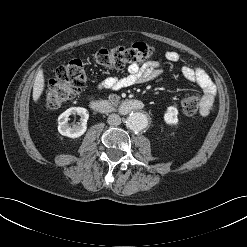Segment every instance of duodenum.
<instances>
[{
  "instance_id": "1",
  "label": "duodenum",
  "mask_w": 247,
  "mask_h": 247,
  "mask_svg": "<svg viewBox=\"0 0 247 247\" xmlns=\"http://www.w3.org/2000/svg\"><path fill=\"white\" fill-rule=\"evenodd\" d=\"M91 106L101 113H120L129 114L131 112L142 110L144 104L138 99H126L120 103H115L110 100H93Z\"/></svg>"
}]
</instances>
